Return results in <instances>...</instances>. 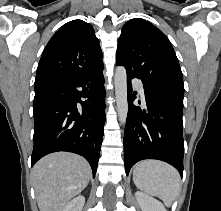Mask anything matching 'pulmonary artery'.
<instances>
[{"label": "pulmonary artery", "mask_w": 221, "mask_h": 211, "mask_svg": "<svg viewBox=\"0 0 221 211\" xmlns=\"http://www.w3.org/2000/svg\"><path fill=\"white\" fill-rule=\"evenodd\" d=\"M132 82L136 86V88L138 89L141 97L144 98L145 94H144V89H143L142 82L140 80L136 79V78L133 79Z\"/></svg>", "instance_id": "e3ab8cb5"}]
</instances>
